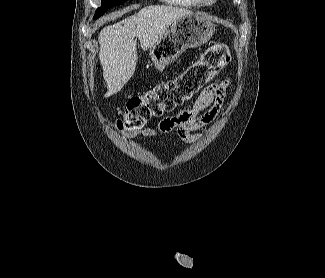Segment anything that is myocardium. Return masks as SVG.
<instances>
[{"instance_id":"myocardium-1","label":"myocardium","mask_w":325,"mask_h":278,"mask_svg":"<svg viewBox=\"0 0 325 278\" xmlns=\"http://www.w3.org/2000/svg\"><path fill=\"white\" fill-rule=\"evenodd\" d=\"M207 3H213L215 2L216 0H205Z\"/></svg>"}]
</instances>
